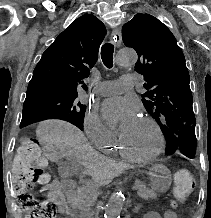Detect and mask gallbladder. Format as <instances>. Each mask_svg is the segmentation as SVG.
Segmentation results:
<instances>
[{
	"instance_id": "obj_1",
	"label": "gallbladder",
	"mask_w": 211,
	"mask_h": 218,
	"mask_svg": "<svg viewBox=\"0 0 211 218\" xmlns=\"http://www.w3.org/2000/svg\"><path fill=\"white\" fill-rule=\"evenodd\" d=\"M58 174L61 178H71L74 175H82L84 166H77L76 160L67 158L65 162H57Z\"/></svg>"
}]
</instances>
